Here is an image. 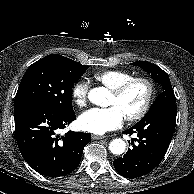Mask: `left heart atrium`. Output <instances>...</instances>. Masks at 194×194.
I'll use <instances>...</instances> for the list:
<instances>
[{
  "mask_svg": "<svg viewBox=\"0 0 194 194\" xmlns=\"http://www.w3.org/2000/svg\"><path fill=\"white\" fill-rule=\"evenodd\" d=\"M124 118L120 110L115 106L91 108L79 116L78 125L84 131L103 134L119 128Z\"/></svg>",
  "mask_w": 194,
  "mask_h": 194,
  "instance_id": "left-heart-atrium-1",
  "label": "left heart atrium"
}]
</instances>
